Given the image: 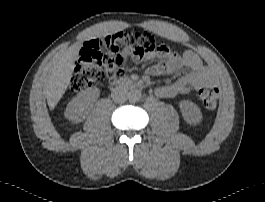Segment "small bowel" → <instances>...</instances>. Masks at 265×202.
<instances>
[{
	"instance_id": "1",
	"label": "small bowel",
	"mask_w": 265,
	"mask_h": 202,
	"mask_svg": "<svg viewBox=\"0 0 265 202\" xmlns=\"http://www.w3.org/2000/svg\"><path fill=\"white\" fill-rule=\"evenodd\" d=\"M100 38L87 40L80 54L83 57L91 55L97 50ZM160 62L149 67L146 71L148 75L159 76L164 74H174L185 67L188 72L181 76L177 81L159 87L156 95L160 98L171 99L179 95L188 94L201 87L214 84L212 71L204 65L199 57L191 50L185 51L182 55H176L169 51L157 57Z\"/></svg>"
}]
</instances>
